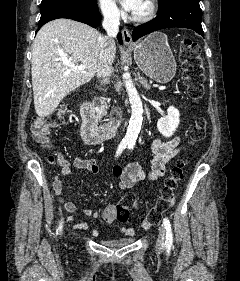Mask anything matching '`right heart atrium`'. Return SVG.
Here are the masks:
<instances>
[{
    "label": "right heart atrium",
    "mask_w": 240,
    "mask_h": 281,
    "mask_svg": "<svg viewBox=\"0 0 240 281\" xmlns=\"http://www.w3.org/2000/svg\"><path fill=\"white\" fill-rule=\"evenodd\" d=\"M98 5L104 17L109 20H118L121 16V10L115 0H98Z\"/></svg>",
    "instance_id": "obj_1"
}]
</instances>
